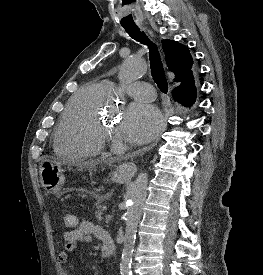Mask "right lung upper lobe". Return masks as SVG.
Masks as SVG:
<instances>
[{"mask_svg":"<svg viewBox=\"0 0 263 275\" xmlns=\"http://www.w3.org/2000/svg\"><path fill=\"white\" fill-rule=\"evenodd\" d=\"M162 48L166 54L168 68L175 74L174 81L178 86H186L187 99L185 103L186 106H190L196 100V87L193 83H187L193 64L189 49L173 40H163Z\"/></svg>","mask_w":263,"mask_h":275,"instance_id":"1","label":"right lung upper lobe"}]
</instances>
